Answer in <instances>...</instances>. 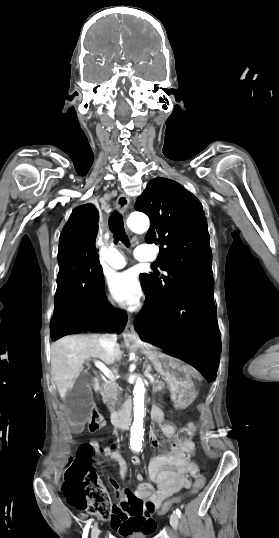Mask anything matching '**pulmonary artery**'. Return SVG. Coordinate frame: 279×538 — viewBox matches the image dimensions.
<instances>
[{"label": "pulmonary artery", "instance_id": "1", "mask_svg": "<svg viewBox=\"0 0 279 538\" xmlns=\"http://www.w3.org/2000/svg\"><path fill=\"white\" fill-rule=\"evenodd\" d=\"M141 260V258H137ZM126 254L118 249H111L109 256L102 260V266L104 269H119L126 264Z\"/></svg>", "mask_w": 279, "mask_h": 538}]
</instances>
